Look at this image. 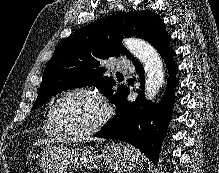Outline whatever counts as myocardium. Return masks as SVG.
Returning <instances> with one entry per match:
<instances>
[{
	"label": "myocardium",
	"mask_w": 219,
	"mask_h": 173,
	"mask_svg": "<svg viewBox=\"0 0 219 173\" xmlns=\"http://www.w3.org/2000/svg\"><path fill=\"white\" fill-rule=\"evenodd\" d=\"M77 93L89 94L94 96L102 104L104 109L102 117L93 126L80 131L67 129L62 124L59 117V106L62 103V101L68 96ZM112 114H113L112 107L108 102L107 98L105 97V95L99 89L91 86H78L67 90L56 99L52 107V119L55 126L63 135L74 137V138L86 137L97 133L107 125V123L110 121L112 117Z\"/></svg>",
	"instance_id": "f54148a6"
}]
</instances>
